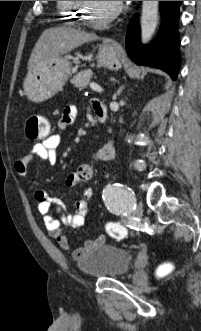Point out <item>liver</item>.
I'll return each instance as SVG.
<instances>
[{"label":"liver","instance_id":"liver-1","mask_svg":"<svg viewBox=\"0 0 201 331\" xmlns=\"http://www.w3.org/2000/svg\"><path fill=\"white\" fill-rule=\"evenodd\" d=\"M98 37L71 27H56L45 30L36 42L29 61L28 73L35 72L53 59L70 52L85 42Z\"/></svg>","mask_w":201,"mask_h":331}]
</instances>
